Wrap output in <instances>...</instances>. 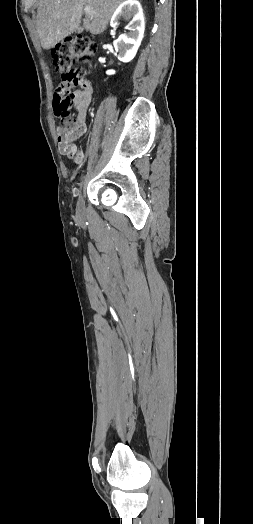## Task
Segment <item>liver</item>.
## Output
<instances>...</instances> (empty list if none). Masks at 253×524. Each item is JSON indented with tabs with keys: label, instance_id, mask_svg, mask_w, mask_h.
<instances>
[{
	"label": "liver",
	"instance_id": "obj_1",
	"mask_svg": "<svg viewBox=\"0 0 253 524\" xmlns=\"http://www.w3.org/2000/svg\"><path fill=\"white\" fill-rule=\"evenodd\" d=\"M123 2L124 0H39L36 27L41 46L43 49H51L75 32L86 6H90L94 14H86L83 28L93 35L103 33L114 11Z\"/></svg>",
	"mask_w": 253,
	"mask_h": 524
}]
</instances>
